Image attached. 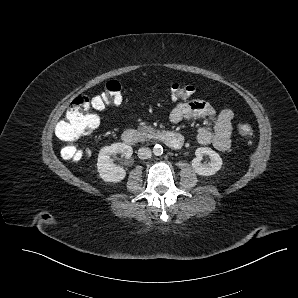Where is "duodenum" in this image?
I'll use <instances>...</instances> for the list:
<instances>
[{"mask_svg": "<svg viewBox=\"0 0 298 298\" xmlns=\"http://www.w3.org/2000/svg\"><path fill=\"white\" fill-rule=\"evenodd\" d=\"M152 137L164 142L172 149H179L183 145V138L177 132L160 131L153 134ZM145 139L146 136L144 134L134 129H126L122 133V140L127 145H138L145 141Z\"/></svg>", "mask_w": 298, "mask_h": 298, "instance_id": "obj_1", "label": "duodenum"}]
</instances>
